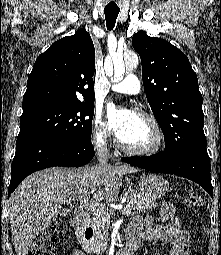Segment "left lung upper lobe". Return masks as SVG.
<instances>
[{
    "mask_svg": "<svg viewBox=\"0 0 221 255\" xmlns=\"http://www.w3.org/2000/svg\"><path fill=\"white\" fill-rule=\"evenodd\" d=\"M132 46L140 55L146 97L164 134V153L175 157L189 147L206 146L203 99L187 56L143 31L133 36Z\"/></svg>",
    "mask_w": 221,
    "mask_h": 255,
    "instance_id": "1",
    "label": "left lung upper lobe"
}]
</instances>
